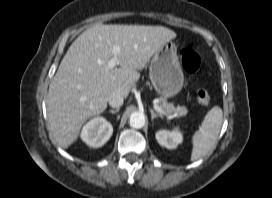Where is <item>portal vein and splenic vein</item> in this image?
I'll return each mask as SVG.
<instances>
[{
  "label": "portal vein and splenic vein",
  "mask_w": 272,
  "mask_h": 198,
  "mask_svg": "<svg viewBox=\"0 0 272 198\" xmlns=\"http://www.w3.org/2000/svg\"><path fill=\"white\" fill-rule=\"evenodd\" d=\"M120 52V48L118 46L113 47V58H111L108 62V68H114L116 65H118V59H117V54ZM154 109L160 113V114H165V111L158 105H154Z\"/></svg>",
  "instance_id": "18ae733b"
}]
</instances>
